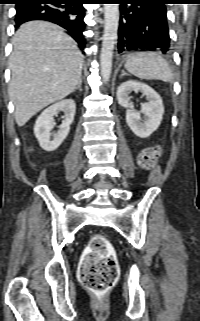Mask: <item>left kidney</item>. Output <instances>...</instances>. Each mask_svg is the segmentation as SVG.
I'll list each match as a JSON object with an SVG mask.
<instances>
[{
    "label": "left kidney",
    "instance_id": "5707ae66",
    "mask_svg": "<svg viewBox=\"0 0 200 321\" xmlns=\"http://www.w3.org/2000/svg\"><path fill=\"white\" fill-rule=\"evenodd\" d=\"M132 91L142 92L147 102L141 107V111H135L130 103ZM118 103L126 108V122L132 132L140 137H149L160 126L164 114V106L160 95L144 83L129 80L122 83L117 89ZM141 113L144 115L142 120Z\"/></svg>",
    "mask_w": 200,
    "mask_h": 321
}]
</instances>
